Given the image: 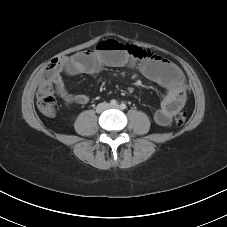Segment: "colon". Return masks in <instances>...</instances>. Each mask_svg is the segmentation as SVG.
Instances as JSON below:
<instances>
[{
	"label": "colon",
	"instance_id": "5ec220e1",
	"mask_svg": "<svg viewBox=\"0 0 227 227\" xmlns=\"http://www.w3.org/2000/svg\"><path fill=\"white\" fill-rule=\"evenodd\" d=\"M128 51L136 58L144 59L150 55V52L138 48L136 46H127ZM61 62V58L53 59L47 68L51 72ZM37 107L39 111L45 116H53L56 111V100L54 96V89L52 83L49 81V76L40 84L37 91ZM187 120V113L180 111L175 115V123L178 126L185 124Z\"/></svg>",
	"mask_w": 227,
	"mask_h": 227
}]
</instances>
